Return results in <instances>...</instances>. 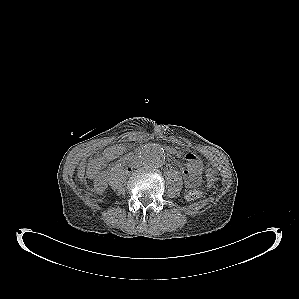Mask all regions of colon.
Listing matches in <instances>:
<instances>
[{"instance_id": "colon-1", "label": "colon", "mask_w": 299, "mask_h": 299, "mask_svg": "<svg viewBox=\"0 0 299 299\" xmlns=\"http://www.w3.org/2000/svg\"><path fill=\"white\" fill-rule=\"evenodd\" d=\"M186 168L196 177H201L203 174L204 166L201 159L193 153L184 155ZM90 174L93 170L90 169ZM202 196V191L199 189H191L186 193V199L189 201L198 200Z\"/></svg>"}]
</instances>
